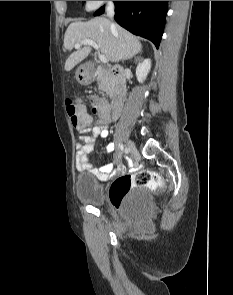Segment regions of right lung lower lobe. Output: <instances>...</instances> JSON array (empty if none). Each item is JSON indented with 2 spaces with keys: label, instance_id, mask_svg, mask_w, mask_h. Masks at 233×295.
I'll return each instance as SVG.
<instances>
[{
  "label": "right lung lower lobe",
  "instance_id": "98d812e1",
  "mask_svg": "<svg viewBox=\"0 0 233 295\" xmlns=\"http://www.w3.org/2000/svg\"><path fill=\"white\" fill-rule=\"evenodd\" d=\"M115 20L135 35L159 47L165 25L167 1H114ZM104 13V6L94 16Z\"/></svg>",
  "mask_w": 233,
  "mask_h": 295
}]
</instances>
